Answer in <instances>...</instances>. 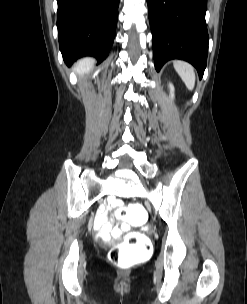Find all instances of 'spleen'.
I'll return each instance as SVG.
<instances>
[{
  "label": "spleen",
  "instance_id": "obj_1",
  "mask_svg": "<svg viewBox=\"0 0 247 304\" xmlns=\"http://www.w3.org/2000/svg\"><path fill=\"white\" fill-rule=\"evenodd\" d=\"M173 66L189 90L195 85V71L192 65L185 61L175 60Z\"/></svg>",
  "mask_w": 247,
  "mask_h": 304
}]
</instances>
